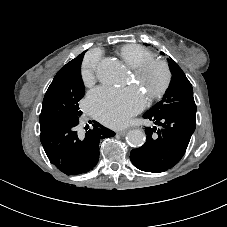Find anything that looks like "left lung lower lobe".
<instances>
[{
    "instance_id": "obj_1",
    "label": "left lung lower lobe",
    "mask_w": 227,
    "mask_h": 227,
    "mask_svg": "<svg viewBox=\"0 0 227 227\" xmlns=\"http://www.w3.org/2000/svg\"><path fill=\"white\" fill-rule=\"evenodd\" d=\"M143 118L158 127H146V142L133 149L130 159L134 166L146 172H164L176 165L187 149L196 127V117L176 111L155 114L146 112Z\"/></svg>"
}]
</instances>
